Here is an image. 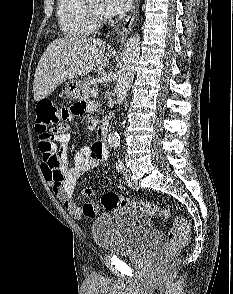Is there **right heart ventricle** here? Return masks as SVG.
Listing matches in <instances>:
<instances>
[{"label":"right heart ventricle","mask_w":233,"mask_h":294,"mask_svg":"<svg viewBox=\"0 0 233 294\" xmlns=\"http://www.w3.org/2000/svg\"><path fill=\"white\" fill-rule=\"evenodd\" d=\"M57 17L60 29L69 37L85 38L95 31L85 0H59Z\"/></svg>","instance_id":"e07e8e85"}]
</instances>
